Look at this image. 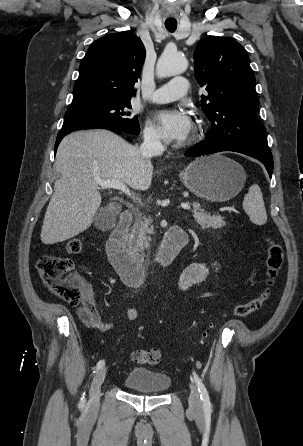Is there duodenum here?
I'll return each instance as SVG.
<instances>
[{"mask_svg":"<svg viewBox=\"0 0 303 446\" xmlns=\"http://www.w3.org/2000/svg\"><path fill=\"white\" fill-rule=\"evenodd\" d=\"M132 217L129 210L121 212L118 223L107 240L106 252L110 263L122 280L131 286H136L143 280L144 264L139 257L131 255L125 247V235L132 222ZM187 243L188 235L182 228H170L164 235L160 248L153 259L154 266L158 270L168 268Z\"/></svg>","mask_w":303,"mask_h":446,"instance_id":"410a0bca","label":"duodenum"}]
</instances>
